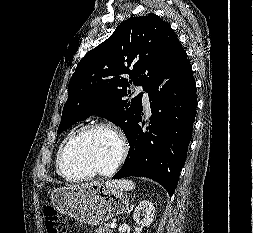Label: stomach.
Masks as SVG:
<instances>
[{
    "mask_svg": "<svg viewBox=\"0 0 253 233\" xmlns=\"http://www.w3.org/2000/svg\"><path fill=\"white\" fill-rule=\"evenodd\" d=\"M51 202L60 213L88 225L103 224L129 206L122 189L101 183L54 188Z\"/></svg>",
    "mask_w": 253,
    "mask_h": 233,
    "instance_id": "stomach-1",
    "label": "stomach"
}]
</instances>
